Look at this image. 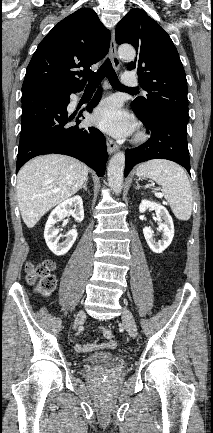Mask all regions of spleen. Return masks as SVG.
Returning a JSON list of instances; mask_svg holds the SVG:
<instances>
[{"label":"spleen","mask_w":213,"mask_h":433,"mask_svg":"<svg viewBox=\"0 0 213 433\" xmlns=\"http://www.w3.org/2000/svg\"><path fill=\"white\" fill-rule=\"evenodd\" d=\"M138 177L154 180L162 187V193L169 202L176 218L187 221L192 212V190L185 170L167 160H151L141 164Z\"/></svg>","instance_id":"3e777b00"}]
</instances>
